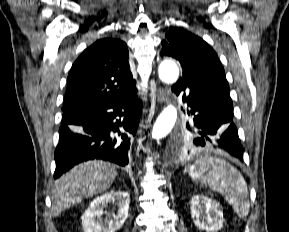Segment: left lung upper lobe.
Listing matches in <instances>:
<instances>
[{"label": "left lung upper lobe", "mask_w": 289, "mask_h": 232, "mask_svg": "<svg viewBox=\"0 0 289 232\" xmlns=\"http://www.w3.org/2000/svg\"><path fill=\"white\" fill-rule=\"evenodd\" d=\"M161 55L176 58L183 68V77L178 82L190 87L203 88L231 100L224 68L216 52L200 37L180 28H173L162 41ZM193 135L180 136V145L193 152L203 148L192 146Z\"/></svg>", "instance_id": "1"}]
</instances>
